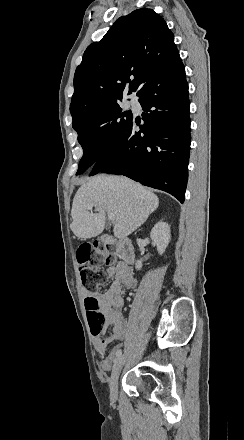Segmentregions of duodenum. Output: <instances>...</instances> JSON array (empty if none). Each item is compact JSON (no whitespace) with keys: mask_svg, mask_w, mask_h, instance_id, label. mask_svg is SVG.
Instances as JSON below:
<instances>
[{"mask_svg":"<svg viewBox=\"0 0 244 440\" xmlns=\"http://www.w3.org/2000/svg\"><path fill=\"white\" fill-rule=\"evenodd\" d=\"M102 242L109 244L111 240L104 237ZM115 244L122 261L127 265L132 264L135 261V252L131 240L128 238H119L115 240Z\"/></svg>","mask_w":244,"mask_h":440,"instance_id":"410a0bca","label":"duodenum"}]
</instances>
